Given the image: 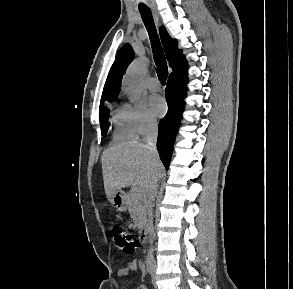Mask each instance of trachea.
<instances>
[{"label": "trachea", "instance_id": "trachea-1", "mask_svg": "<svg viewBox=\"0 0 293 289\" xmlns=\"http://www.w3.org/2000/svg\"><path fill=\"white\" fill-rule=\"evenodd\" d=\"M139 11L151 40L153 57L157 66L158 78L163 84H165L168 77L167 62L159 41V37L157 35L152 13L149 8H142L139 9Z\"/></svg>", "mask_w": 293, "mask_h": 289}]
</instances>
